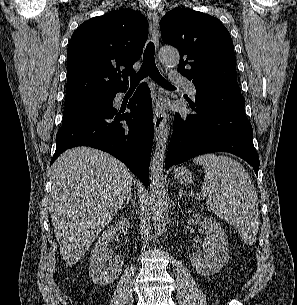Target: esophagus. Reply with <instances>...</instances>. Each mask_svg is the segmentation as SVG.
<instances>
[{
	"label": "esophagus",
	"instance_id": "esophagus-1",
	"mask_svg": "<svg viewBox=\"0 0 297 305\" xmlns=\"http://www.w3.org/2000/svg\"><path fill=\"white\" fill-rule=\"evenodd\" d=\"M150 17L152 20L151 35H152L153 42H154L156 48L158 49V47H159V17H158L157 11L153 10L150 13ZM158 66H159L160 71L164 72L160 63H158ZM158 99L159 100L164 99L161 89L158 90ZM165 121H166V113L159 105H157L153 112V122H154V130H155L156 138H158L161 130L163 129Z\"/></svg>",
	"mask_w": 297,
	"mask_h": 305
}]
</instances>
